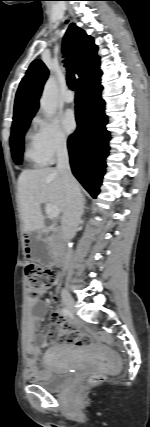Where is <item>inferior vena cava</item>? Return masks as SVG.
Wrapping results in <instances>:
<instances>
[{"label":"inferior vena cava","mask_w":150,"mask_h":427,"mask_svg":"<svg viewBox=\"0 0 150 427\" xmlns=\"http://www.w3.org/2000/svg\"><path fill=\"white\" fill-rule=\"evenodd\" d=\"M57 170L62 176L66 191V207L62 216L61 230L66 239H71L75 236L83 213L84 199L78 182L72 175L65 142H60L57 146Z\"/></svg>","instance_id":"obj_1"}]
</instances>
